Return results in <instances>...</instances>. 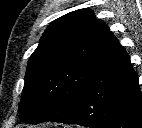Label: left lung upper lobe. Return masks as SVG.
<instances>
[{
    "label": "left lung upper lobe",
    "mask_w": 142,
    "mask_h": 128,
    "mask_svg": "<svg viewBox=\"0 0 142 128\" xmlns=\"http://www.w3.org/2000/svg\"><path fill=\"white\" fill-rule=\"evenodd\" d=\"M122 51L89 9L53 21L28 61L20 120L35 124L65 118L89 81Z\"/></svg>",
    "instance_id": "1"
}]
</instances>
